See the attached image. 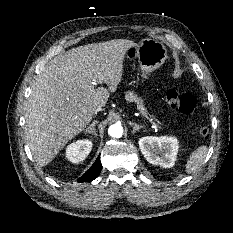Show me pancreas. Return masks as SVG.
Masks as SVG:
<instances>
[{
    "mask_svg": "<svg viewBox=\"0 0 233 233\" xmlns=\"http://www.w3.org/2000/svg\"><path fill=\"white\" fill-rule=\"evenodd\" d=\"M125 98L126 100L130 101V102H136L137 103V107L138 109L141 111V113H146L145 108L143 107V105L141 104L140 100L138 99L137 95L134 94L131 91H128L125 93Z\"/></svg>",
    "mask_w": 233,
    "mask_h": 233,
    "instance_id": "cf45deb5",
    "label": "pancreas"
}]
</instances>
